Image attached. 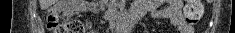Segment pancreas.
<instances>
[{
  "label": "pancreas",
  "mask_w": 235,
  "mask_h": 33,
  "mask_svg": "<svg viewBox=\"0 0 235 33\" xmlns=\"http://www.w3.org/2000/svg\"><path fill=\"white\" fill-rule=\"evenodd\" d=\"M102 2H104L105 4H107L108 3V0H101Z\"/></svg>",
  "instance_id": "cf45deb5"
}]
</instances>
